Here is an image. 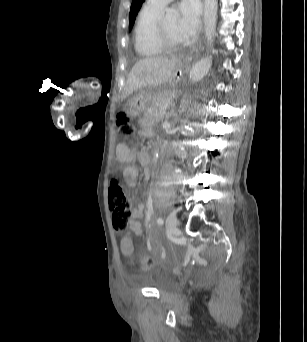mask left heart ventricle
<instances>
[{"label": "left heart ventricle", "instance_id": "obj_1", "mask_svg": "<svg viewBox=\"0 0 307 342\" xmlns=\"http://www.w3.org/2000/svg\"><path fill=\"white\" fill-rule=\"evenodd\" d=\"M175 21H162L163 38L172 49H181L183 44L175 36Z\"/></svg>", "mask_w": 307, "mask_h": 342}]
</instances>
